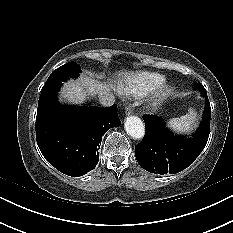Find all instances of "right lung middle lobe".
I'll return each instance as SVG.
<instances>
[{"label": "right lung middle lobe", "instance_id": "1", "mask_svg": "<svg viewBox=\"0 0 233 233\" xmlns=\"http://www.w3.org/2000/svg\"><path fill=\"white\" fill-rule=\"evenodd\" d=\"M81 71L80 66L75 62H69L55 69L46 81L38 102L37 114L51 109L57 103L56 94L62 82L75 78Z\"/></svg>", "mask_w": 233, "mask_h": 233}]
</instances>
